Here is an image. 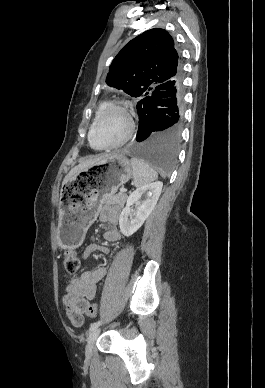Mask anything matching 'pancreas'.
Returning a JSON list of instances; mask_svg holds the SVG:
<instances>
[{"instance_id": "obj_1", "label": "pancreas", "mask_w": 265, "mask_h": 388, "mask_svg": "<svg viewBox=\"0 0 265 388\" xmlns=\"http://www.w3.org/2000/svg\"><path fill=\"white\" fill-rule=\"evenodd\" d=\"M127 196L120 192V194H106L103 198V204H118V206H123L125 204Z\"/></svg>"}]
</instances>
